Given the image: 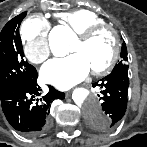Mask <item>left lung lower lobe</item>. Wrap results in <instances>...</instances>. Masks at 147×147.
<instances>
[{"label": "left lung lower lobe", "mask_w": 147, "mask_h": 147, "mask_svg": "<svg viewBox=\"0 0 147 147\" xmlns=\"http://www.w3.org/2000/svg\"><path fill=\"white\" fill-rule=\"evenodd\" d=\"M103 88L102 109L106 114V120L94 119L90 124L101 131L114 129L123 118L127 108V96L129 87L128 67L120 68L101 80L93 83V87ZM99 96V95H98Z\"/></svg>", "instance_id": "1"}]
</instances>
